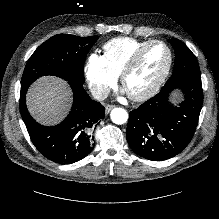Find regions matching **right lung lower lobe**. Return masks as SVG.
<instances>
[{"instance_id": "right-lung-lower-lobe-1", "label": "right lung lower lobe", "mask_w": 219, "mask_h": 219, "mask_svg": "<svg viewBox=\"0 0 219 219\" xmlns=\"http://www.w3.org/2000/svg\"><path fill=\"white\" fill-rule=\"evenodd\" d=\"M69 84L74 93L71 111L53 127L42 126L30 116L25 103L27 90L20 93V112L33 144L49 160L60 164L76 162L91 152L88 132L105 116V108L88 96L82 83Z\"/></svg>"}]
</instances>
